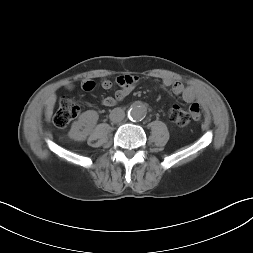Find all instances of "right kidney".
Wrapping results in <instances>:
<instances>
[{
	"mask_svg": "<svg viewBox=\"0 0 253 253\" xmlns=\"http://www.w3.org/2000/svg\"><path fill=\"white\" fill-rule=\"evenodd\" d=\"M99 115L94 110H88L82 113L75 121L68 133L69 137L75 141H84L95 127L98 121Z\"/></svg>",
	"mask_w": 253,
	"mask_h": 253,
	"instance_id": "right-kidney-1",
	"label": "right kidney"
}]
</instances>
